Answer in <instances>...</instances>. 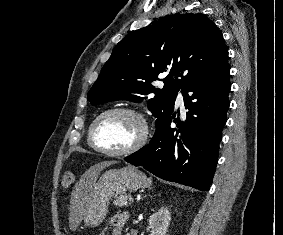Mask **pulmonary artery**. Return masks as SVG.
Instances as JSON below:
<instances>
[{
    "instance_id": "e3ab8cb5",
    "label": "pulmonary artery",
    "mask_w": 283,
    "mask_h": 235,
    "mask_svg": "<svg viewBox=\"0 0 283 235\" xmlns=\"http://www.w3.org/2000/svg\"><path fill=\"white\" fill-rule=\"evenodd\" d=\"M177 104L182 106L183 105V96L181 94L177 97Z\"/></svg>"
}]
</instances>
